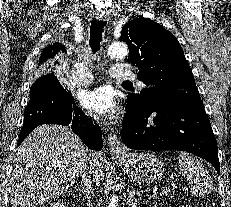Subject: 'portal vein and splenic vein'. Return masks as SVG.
Masks as SVG:
<instances>
[{
  "mask_svg": "<svg viewBox=\"0 0 231 207\" xmlns=\"http://www.w3.org/2000/svg\"><path fill=\"white\" fill-rule=\"evenodd\" d=\"M170 192L168 189H164L161 191L160 195H167Z\"/></svg>",
  "mask_w": 231,
  "mask_h": 207,
  "instance_id": "18ae733b",
  "label": "portal vein and splenic vein"
}]
</instances>
